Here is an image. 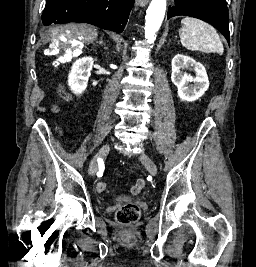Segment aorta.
<instances>
[{"label":"aorta","mask_w":256,"mask_h":267,"mask_svg":"<svg viewBox=\"0 0 256 267\" xmlns=\"http://www.w3.org/2000/svg\"><path fill=\"white\" fill-rule=\"evenodd\" d=\"M166 8L167 0H152L150 2L145 16V38L148 44H152L156 40V34L165 18Z\"/></svg>","instance_id":"obj_1"}]
</instances>
